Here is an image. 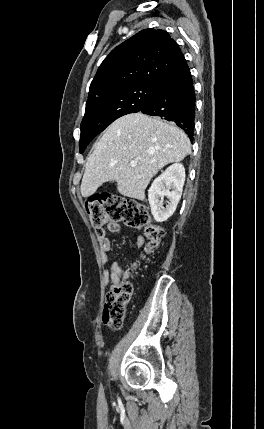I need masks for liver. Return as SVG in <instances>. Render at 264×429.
Masks as SVG:
<instances>
[{"label":"liver","instance_id":"liver-1","mask_svg":"<svg viewBox=\"0 0 264 429\" xmlns=\"http://www.w3.org/2000/svg\"><path fill=\"white\" fill-rule=\"evenodd\" d=\"M190 153L188 136L175 124L142 113L124 115L108 126L88 156L81 194L87 198L103 183L116 181L120 194L143 201L152 177Z\"/></svg>","mask_w":264,"mask_h":429}]
</instances>
